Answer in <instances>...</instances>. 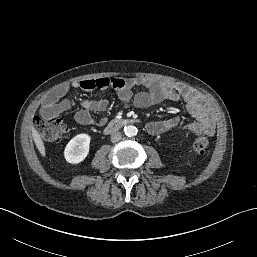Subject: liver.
I'll list each match as a JSON object with an SVG mask.
<instances>
[{
    "label": "liver",
    "mask_w": 257,
    "mask_h": 257,
    "mask_svg": "<svg viewBox=\"0 0 257 257\" xmlns=\"http://www.w3.org/2000/svg\"><path fill=\"white\" fill-rule=\"evenodd\" d=\"M32 137L34 139V142L36 144V147L38 149V151L40 152V154L44 157L45 156V146L44 143L39 135V133L37 132V130L32 127Z\"/></svg>",
    "instance_id": "liver-1"
}]
</instances>
